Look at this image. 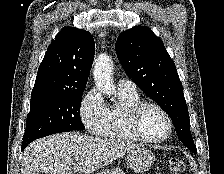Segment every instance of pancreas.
I'll return each instance as SVG.
<instances>
[{
  "label": "pancreas",
  "instance_id": "cf45deb5",
  "mask_svg": "<svg viewBox=\"0 0 224 174\" xmlns=\"http://www.w3.org/2000/svg\"><path fill=\"white\" fill-rule=\"evenodd\" d=\"M106 171H108V172L111 171L112 172V173H109V174H118L117 171H115V170H106ZM98 174H102V173H98Z\"/></svg>",
  "mask_w": 224,
  "mask_h": 174
}]
</instances>
